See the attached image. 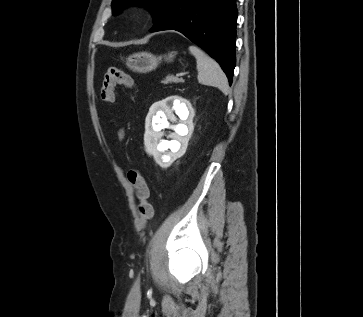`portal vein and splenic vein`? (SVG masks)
I'll use <instances>...</instances> for the list:
<instances>
[{
  "label": "portal vein and splenic vein",
  "instance_id": "1",
  "mask_svg": "<svg viewBox=\"0 0 363 317\" xmlns=\"http://www.w3.org/2000/svg\"><path fill=\"white\" fill-rule=\"evenodd\" d=\"M187 73H179L177 76H179V77H183V76H185Z\"/></svg>",
  "mask_w": 363,
  "mask_h": 317
}]
</instances>
